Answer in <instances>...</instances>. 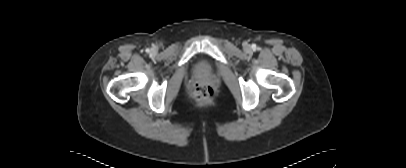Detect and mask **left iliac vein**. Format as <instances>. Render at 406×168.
Returning a JSON list of instances; mask_svg holds the SVG:
<instances>
[{
	"instance_id": "4c4485c4",
	"label": "left iliac vein",
	"mask_w": 406,
	"mask_h": 168,
	"mask_svg": "<svg viewBox=\"0 0 406 168\" xmlns=\"http://www.w3.org/2000/svg\"><path fill=\"white\" fill-rule=\"evenodd\" d=\"M250 50H251L250 46H249V45H246V46H245V51H246V52H250Z\"/></svg>"
}]
</instances>
